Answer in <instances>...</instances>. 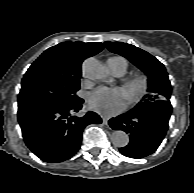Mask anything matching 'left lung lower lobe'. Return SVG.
I'll return each instance as SVG.
<instances>
[{
	"label": "left lung lower lobe",
	"mask_w": 194,
	"mask_h": 193,
	"mask_svg": "<svg viewBox=\"0 0 194 193\" xmlns=\"http://www.w3.org/2000/svg\"><path fill=\"white\" fill-rule=\"evenodd\" d=\"M172 106L169 100L135 107L109 121L114 130H123L130 136L120 152L131 158H143L156 151L165 137Z\"/></svg>",
	"instance_id": "0a47b994"
}]
</instances>
